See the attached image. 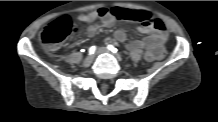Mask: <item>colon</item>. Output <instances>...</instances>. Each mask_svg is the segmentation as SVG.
Listing matches in <instances>:
<instances>
[{
    "instance_id": "obj_1",
    "label": "colon",
    "mask_w": 218,
    "mask_h": 122,
    "mask_svg": "<svg viewBox=\"0 0 218 122\" xmlns=\"http://www.w3.org/2000/svg\"><path fill=\"white\" fill-rule=\"evenodd\" d=\"M111 12L119 19L139 22L142 25L152 26L155 28H161L164 26L162 21L154 18L146 11L116 8ZM75 30L76 27L72 24L68 17H60L43 28L40 34V40L47 48L55 49L71 32ZM167 53L166 48H158L157 53L154 54V61L158 63L163 62Z\"/></svg>"
}]
</instances>
